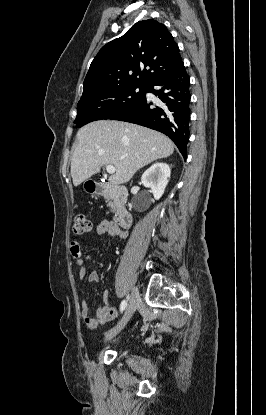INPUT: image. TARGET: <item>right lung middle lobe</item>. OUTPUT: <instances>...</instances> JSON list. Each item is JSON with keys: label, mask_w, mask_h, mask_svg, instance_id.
<instances>
[{"label": "right lung middle lobe", "mask_w": 266, "mask_h": 415, "mask_svg": "<svg viewBox=\"0 0 266 415\" xmlns=\"http://www.w3.org/2000/svg\"><path fill=\"white\" fill-rule=\"evenodd\" d=\"M146 92L147 87L127 85L82 98L74 123L76 127H82L92 121L110 119L140 103Z\"/></svg>", "instance_id": "dd1d6c3e"}]
</instances>
